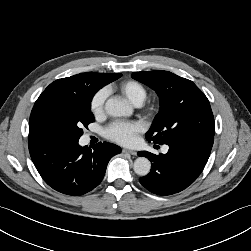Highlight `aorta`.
<instances>
[{"mask_svg": "<svg viewBox=\"0 0 251 251\" xmlns=\"http://www.w3.org/2000/svg\"><path fill=\"white\" fill-rule=\"evenodd\" d=\"M105 110L107 114L113 117L130 116L133 112L131 106L127 102L118 99L107 100ZM133 169L137 175L146 176L150 172L151 163L145 157H138L134 161Z\"/></svg>", "mask_w": 251, "mask_h": 251, "instance_id": "1", "label": "aorta"}]
</instances>
